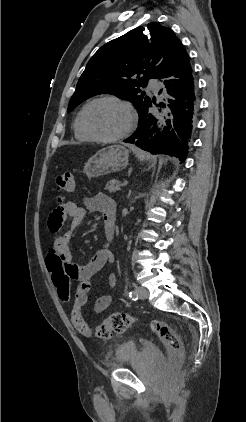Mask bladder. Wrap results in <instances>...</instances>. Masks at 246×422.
<instances>
[{
  "label": "bladder",
  "mask_w": 246,
  "mask_h": 422,
  "mask_svg": "<svg viewBox=\"0 0 246 422\" xmlns=\"http://www.w3.org/2000/svg\"><path fill=\"white\" fill-rule=\"evenodd\" d=\"M141 350L134 341H125L118 344L113 350L112 365L124 367L139 360ZM150 361L154 368L161 370L166 365V358L162 351L154 349L150 352Z\"/></svg>",
  "instance_id": "bladder-1"
}]
</instances>
